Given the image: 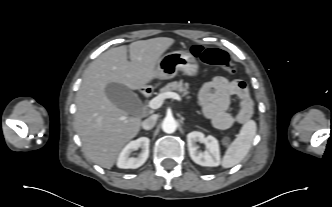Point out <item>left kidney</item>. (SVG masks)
Listing matches in <instances>:
<instances>
[{
    "label": "left kidney",
    "instance_id": "5707ae66",
    "mask_svg": "<svg viewBox=\"0 0 332 207\" xmlns=\"http://www.w3.org/2000/svg\"><path fill=\"white\" fill-rule=\"evenodd\" d=\"M187 142L190 157L196 164L209 167L220 165V150L216 138L211 135L205 137L202 132L193 131L187 135ZM197 142L205 144L207 150L200 152Z\"/></svg>",
    "mask_w": 332,
    "mask_h": 207
}]
</instances>
